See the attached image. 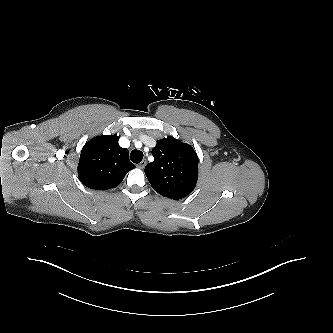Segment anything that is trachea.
I'll return each mask as SVG.
<instances>
[{
	"mask_svg": "<svg viewBox=\"0 0 333 333\" xmlns=\"http://www.w3.org/2000/svg\"><path fill=\"white\" fill-rule=\"evenodd\" d=\"M130 159L133 163L138 164L143 159V153L139 150H133L130 154Z\"/></svg>",
	"mask_w": 333,
	"mask_h": 333,
	"instance_id": "3493384b",
	"label": "trachea"
}]
</instances>
